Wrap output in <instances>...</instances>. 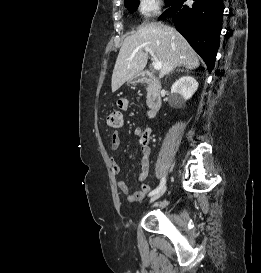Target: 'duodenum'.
Segmentation results:
<instances>
[{
    "label": "duodenum",
    "instance_id": "duodenum-1",
    "mask_svg": "<svg viewBox=\"0 0 261 273\" xmlns=\"http://www.w3.org/2000/svg\"><path fill=\"white\" fill-rule=\"evenodd\" d=\"M139 82L147 84L151 88L149 98V108L151 113L157 112L162 104V97L160 94V86L156 76L151 72H143L139 77Z\"/></svg>",
    "mask_w": 261,
    "mask_h": 273
}]
</instances>
